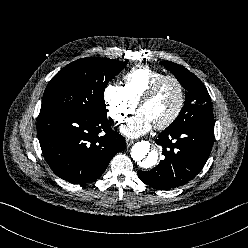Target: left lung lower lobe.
Instances as JSON below:
<instances>
[{
  "mask_svg": "<svg viewBox=\"0 0 248 248\" xmlns=\"http://www.w3.org/2000/svg\"><path fill=\"white\" fill-rule=\"evenodd\" d=\"M165 159L150 171H138L147 185L169 190L184 185L204 167L214 143V125L166 128L155 141Z\"/></svg>",
  "mask_w": 248,
  "mask_h": 248,
  "instance_id": "0a47b994",
  "label": "left lung lower lobe"
}]
</instances>
